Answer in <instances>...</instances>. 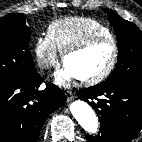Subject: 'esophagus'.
<instances>
[{"label":"esophagus","mask_w":142,"mask_h":142,"mask_svg":"<svg viewBox=\"0 0 142 142\" xmlns=\"http://www.w3.org/2000/svg\"><path fill=\"white\" fill-rule=\"evenodd\" d=\"M64 94L66 96L67 102H70V101H72L74 99V96H73L71 91H65Z\"/></svg>","instance_id":"1"}]
</instances>
